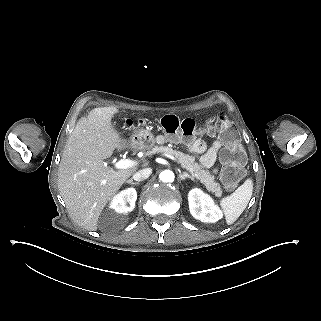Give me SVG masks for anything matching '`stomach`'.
<instances>
[{
	"label": "stomach",
	"mask_w": 321,
	"mask_h": 321,
	"mask_svg": "<svg viewBox=\"0 0 321 321\" xmlns=\"http://www.w3.org/2000/svg\"><path fill=\"white\" fill-rule=\"evenodd\" d=\"M126 145L137 150H149L155 145L153 134L146 129L136 128L131 136L124 140Z\"/></svg>",
	"instance_id": "obj_1"
}]
</instances>
